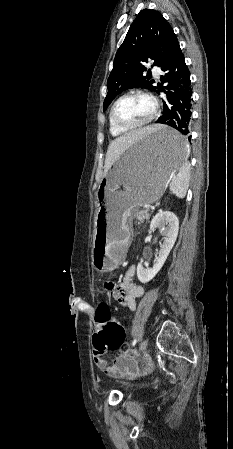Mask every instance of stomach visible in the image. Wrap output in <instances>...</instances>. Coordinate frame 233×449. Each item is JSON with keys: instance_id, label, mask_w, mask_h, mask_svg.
<instances>
[{"instance_id": "stomach-1", "label": "stomach", "mask_w": 233, "mask_h": 449, "mask_svg": "<svg viewBox=\"0 0 233 449\" xmlns=\"http://www.w3.org/2000/svg\"><path fill=\"white\" fill-rule=\"evenodd\" d=\"M189 145L178 128L161 126L133 143L107 173L99 190L100 209L92 255L97 271L116 269L124 259L133 212L159 200Z\"/></svg>"}]
</instances>
